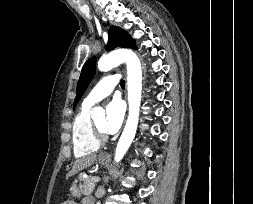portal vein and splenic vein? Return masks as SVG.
Here are the masks:
<instances>
[{
  "mask_svg": "<svg viewBox=\"0 0 253 204\" xmlns=\"http://www.w3.org/2000/svg\"><path fill=\"white\" fill-rule=\"evenodd\" d=\"M91 180H92L93 182H99V181H100L99 177H97V176H92V177H91Z\"/></svg>",
  "mask_w": 253,
  "mask_h": 204,
  "instance_id": "1",
  "label": "portal vein and splenic vein"
}]
</instances>
